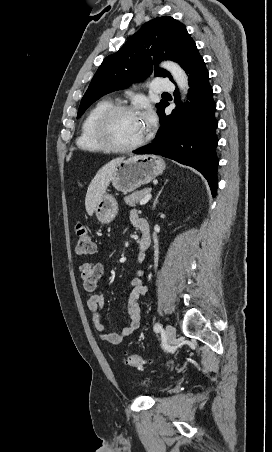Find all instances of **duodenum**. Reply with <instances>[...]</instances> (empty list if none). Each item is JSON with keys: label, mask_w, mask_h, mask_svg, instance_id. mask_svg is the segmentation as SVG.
Wrapping results in <instances>:
<instances>
[{"label": "duodenum", "mask_w": 272, "mask_h": 452, "mask_svg": "<svg viewBox=\"0 0 272 452\" xmlns=\"http://www.w3.org/2000/svg\"><path fill=\"white\" fill-rule=\"evenodd\" d=\"M136 227H138V229L141 232L138 252L139 256L142 258L145 251L151 244L150 225L146 218H138L136 222Z\"/></svg>", "instance_id": "duodenum-1"}]
</instances>
